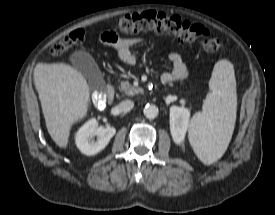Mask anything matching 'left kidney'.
Returning <instances> with one entry per match:
<instances>
[{"mask_svg":"<svg viewBox=\"0 0 275 215\" xmlns=\"http://www.w3.org/2000/svg\"><path fill=\"white\" fill-rule=\"evenodd\" d=\"M190 111L183 107L170 108V131L175 143L183 142L189 127Z\"/></svg>","mask_w":275,"mask_h":215,"instance_id":"1","label":"left kidney"}]
</instances>
